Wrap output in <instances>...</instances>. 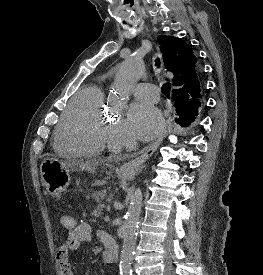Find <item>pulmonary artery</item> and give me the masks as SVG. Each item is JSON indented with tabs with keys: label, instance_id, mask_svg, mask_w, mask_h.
I'll use <instances>...</instances> for the list:
<instances>
[{
	"label": "pulmonary artery",
	"instance_id": "pulmonary-artery-1",
	"mask_svg": "<svg viewBox=\"0 0 263 275\" xmlns=\"http://www.w3.org/2000/svg\"><path fill=\"white\" fill-rule=\"evenodd\" d=\"M133 95L145 102L155 103L159 99L158 89L151 83H138L132 88Z\"/></svg>",
	"mask_w": 263,
	"mask_h": 275
}]
</instances>
